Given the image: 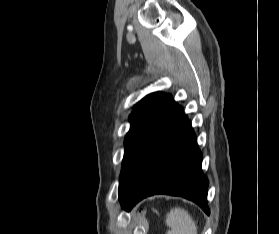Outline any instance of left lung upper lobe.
Wrapping results in <instances>:
<instances>
[{
    "instance_id": "left-lung-upper-lobe-1",
    "label": "left lung upper lobe",
    "mask_w": 279,
    "mask_h": 234,
    "mask_svg": "<svg viewBox=\"0 0 279 234\" xmlns=\"http://www.w3.org/2000/svg\"><path fill=\"white\" fill-rule=\"evenodd\" d=\"M165 96V93L160 92L149 94L133 108V111L129 117L131 127L125 137V153L119 181V197L129 175L141 141L150 123L159 110V107L162 104Z\"/></svg>"
}]
</instances>
